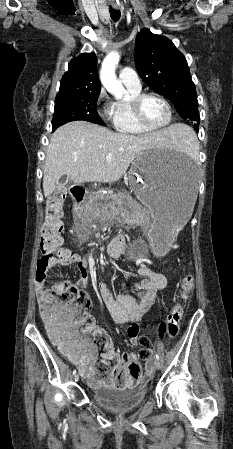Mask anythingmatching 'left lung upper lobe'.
I'll list each match as a JSON object with an SVG mask.
<instances>
[{"label":"left lung upper lobe","mask_w":233,"mask_h":449,"mask_svg":"<svg viewBox=\"0 0 233 449\" xmlns=\"http://www.w3.org/2000/svg\"><path fill=\"white\" fill-rule=\"evenodd\" d=\"M139 76L153 91L168 98L183 119L199 128L198 100L187 61L173 42L148 29L136 36L134 51Z\"/></svg>","instance_id":"5c2ea615"}]
</instances>
